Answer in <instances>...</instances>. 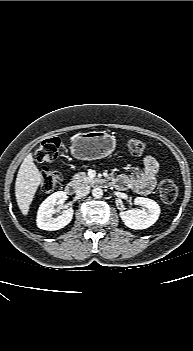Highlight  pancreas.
Returning <instances> with one entry per match:
<instances>
[{
	"instance_id": "pancreas-1",
	"label": "pancreas",
	"mask_w": 193,
	"mask_h": 351,
	"mask_svg": "<svg viewBox=\"0 0 193 351\" xmlns=\"http://www.w3.org/2000/svg\"><path fill=\"white\" fill-rule=\"evenodd\" d=\"M96 182L95 178H90L86 173L79 172L72 177V183L76 186L87 183V184H94Z\"/></svg>"
}]
</instances>
